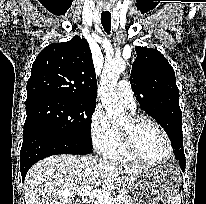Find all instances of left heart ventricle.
<instances>
[{
  "instance_id": "b2bd125f",
  "label": "left heart ventricle",
  "mask_w": 206,
  "mask_h": 204,
  "mask_svg": "<svg viewBox=\"0 0 206 204\" xmlns=\"http://www.w3.org/2000/svg\"><path fill=\"white\" fill-rule=\"evenodd\" d=\"M127 119L121 125L127 123ZM140 151L149 159L159 161L168 155V146L163 135L151 125H143L137 132Z\"/></svg>"
}]
</instances>
